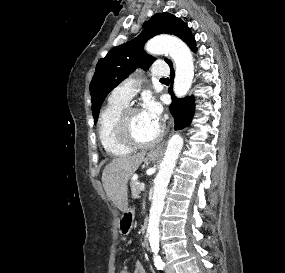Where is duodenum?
<instances>
[{
    "mask_svg": "<svg viewBox=\"0 0 285 273\" xmlns=\"http://www.w3.org/2000/svg\"><path fill=\"white\" fill-rule=\"evenodd\" d=\"M143 245H144L145 249L149 248V238H148V235L146 233L143 236Z\"/></svg>",
    "mask_w": 285,
    "mask_h": 273,
    "instance_id": "1",
    "label": "duodenum"
}]
</instances>
